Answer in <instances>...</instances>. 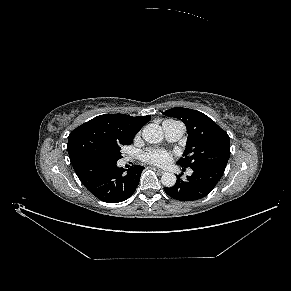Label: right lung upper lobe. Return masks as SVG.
Wrapping results in <instances>:
<instances>
[{"instance_id": "cb5924a9", "label": "right lung upper lobe", "mask_w": 291, "mask_h": 291, "mask_svg": "<svg viewBox=\"0 0 291 291\" xmlns=\"http://www.w3.org/2000/svg\"><path fill=\"white\" fill-rule=\"evenodd\" d=\"M150 116L104 114L74 129L68 136L67 150L71 163L89 157L94 150L128 145Z\"/></svg>"}]
</instances>
